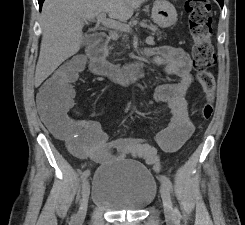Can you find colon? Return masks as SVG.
Here are the masks:
<instances>
[{
    "mask_svg": "<svg viewBox=\"0 0 245 225\" xmlns=\"http://www.w3.org/2000/svg\"><path fill=\"white\" fill-rule=\"evenodd\" d=\"M189 15V31L193 39L192 54L195 70L203 89L205 102L201 115L209 120L213 115L215 80L209 70L216 64V55L212 48V18L211 4L208 0H186ZM80 65L79 60H71L60 67L41 86L43 94L52 97L56 102L66 98L71 89L73 69ZM56 133L64 140L69 148L76 145V130L67 125L53 123Z\"/></svg>",
    "mask_w": 245,
    "mask_h": 225,
    "instance_id": "1",
    "label": "colon"
}]
</instances>
